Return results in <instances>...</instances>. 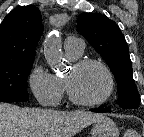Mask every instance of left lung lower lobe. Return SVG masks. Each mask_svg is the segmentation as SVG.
<instances>
[{
  "label": "left lung lower lobe",
  "mask_w": 144,
  "mask_h": 137,
  "mask_svg": "<svg viewBox=\"0 0 144 137\" xmlns=\"http://www.w3.org/2000/svg\"><path fill=\"white\" fill-rule=\"evenodd\" d=\"M91 111L95 112H110V109H105V108H98V109H91Z\"/></svg>",
  "instance_id": "0a47b994"
}]
</instances>
